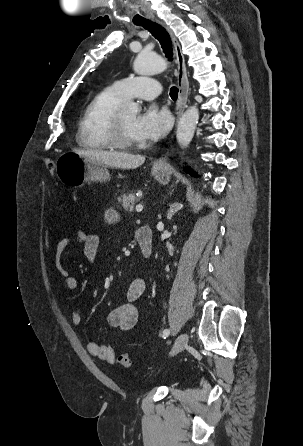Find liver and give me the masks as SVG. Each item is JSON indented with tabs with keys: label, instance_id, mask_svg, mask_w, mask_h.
Masks as SVG:
<instances>
[{
	"label": "liver",
	"instance_id": "obj_1",
	"mask_svg": "<svg viewBox=\"0 0 303 446\" xmlns=\"http://www.w3.org/2000/svg\"><path fill=\"white\" fill-rule=\"evenodd\" d=\"M73 152L92 162L120 169H135L145 162V156L123 152L80 149H73Z\"/></svg>",
	"mask_w": 303,
	"mask_h": 446
}]
</instances>
